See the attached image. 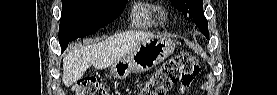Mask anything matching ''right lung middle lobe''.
<instances>
[{
	"label": "right lung middle lobe",
	"mask_w": 277,
	"mask_h": 95,
	"mask_svg": "<svg viewBox=\"0 0 277 95\" xmlns=\"http://www.w3.org/2000/svg\"><path fill=\"white\" fill-rule=\"evenodd\" d=\"M127 0H62L59 43L89 35L117 18Z\"/></svg>",
	"instance_id": "dd1d6c3e"
}]
</instances>
